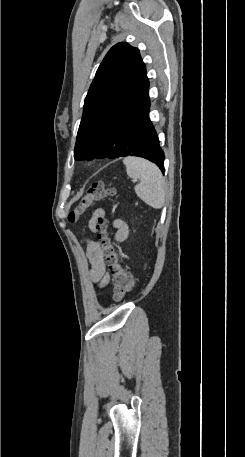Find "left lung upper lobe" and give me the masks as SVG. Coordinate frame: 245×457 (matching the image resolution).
<instances>
[{
  "mask_svg": "<svg viewBox=\"0 0 245 457\" xmlns=\"http://www.w3.org/2000/svg\"><path fill=\"white\" fill-rule=\"evenodd\" d=\"M149 81L139 50L118 43L106 54L85 98L74 157L82 141L118 114L137 111L149 100Z\"/></svg>",
  "mask_w": 245,
  "mask_h": 457,
  "instance_id": "obj_1",
  "label": "left lung upper lobe"
}]
</instances>
